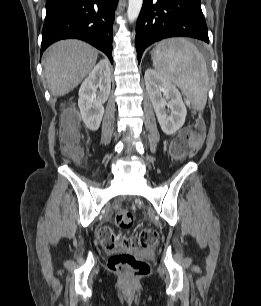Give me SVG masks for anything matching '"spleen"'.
<instances>
[{
  "label": "spleen",
  "mask_w": 261,
  "mask_h": 306,
  "mask_svg": "<svg viewBox=\"0 0 261 306\" xmlns=\"http://www.w3.org/2000/svg\"><path fill=\"white\" fill-rule=\"evenodd\" d=\"M156 71L177 85L186 103L203 110L207 102L208 72L203 55L184 38L161 41L151 52Z\"/></svg>",
  "instance_id": "spleen-1"
}]
</instances>
